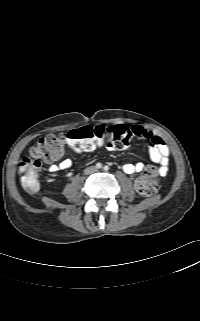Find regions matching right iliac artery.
I'll use <instances>...</instances> for the list:
<instances>
[{
	"mask_svg": "<svg viewBox=\"0 0 200 321\" xmlns=\"http://www.w3.org/2000/svg\"><path fill=\"white\" fill-rule=\"evenodd\" d=\"M96 168H98V169L102 168V164L101 163H97L96 164Z\"/></svg>",
	"mask_w": 200,
	"mask_h": 321,
	"instance_id": "right-iliac-artery-1",
	"label": "right iliac artery"
}]
</instances>
